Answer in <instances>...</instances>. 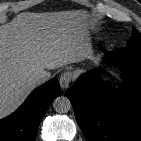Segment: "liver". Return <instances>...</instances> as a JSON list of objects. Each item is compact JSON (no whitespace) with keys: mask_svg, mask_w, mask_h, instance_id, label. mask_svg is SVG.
I'll use <instances>...</instances> for the list:
<instances>
[{"mask_svg":"<svg viewBox=\"0 0 141 141\" xmlns=\"http://www.w3.org/2000/svg\"><path fill=\"white\" fill-rule=\"evenodd\" d=\"M84 12H23L0 26V118L15 110L52 70L88 56Z\"/></svg>","mask_w":141,"mask_h":141,"instance_id":"liver-1","label":"liver"}]
</instances>
